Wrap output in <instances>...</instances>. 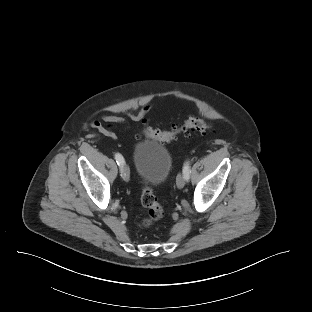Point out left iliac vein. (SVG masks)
I'll return each instance as SVG.
<instances>
[{"label": "left iliac vein", "instance_id": "left-iliac-vein-1", "mask_svg": "<svg viewBox=\"0 0 312 312\" xmlns=\"http://www.w3.org/2000/svg\"><path fill=\"white\" fill-rule=\"evenodd\" d=\"M186 184V179L183 174H179L176 179V185L178 188H183Z\"/></svg>", "mask_w": 312, "mask_h": 312}]
</instances>
